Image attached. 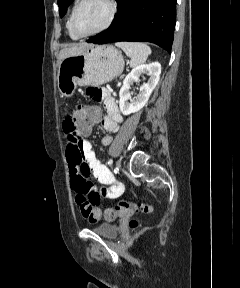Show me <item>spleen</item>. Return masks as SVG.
<instances>
[{
	"mask_svg": "<svg viewBox=\"0 0 240 288\" xmlns=\"http://www.w3.org/2000/svg\"><path fill=\"white\" fill-rule=\"evenodd\" d=\"M121 48L125 54L130 57V66L137 67L146 62L148 56L151 54V48L142 42H117L115 44Z\"/></svg>",
	"mask_w": 240,
	"mask_h": 288,
	"instance_id": "1",
	"label": "spleen"
}]
</instances>
